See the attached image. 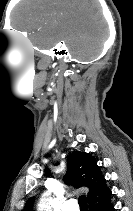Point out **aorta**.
<instances>
[{
    "label": "aorta",
    "mask_w": 133,
    "mask_h": 211,
    "mask_svg": "<svg viewBox=\"0 0 133 211\" xmlns=\"http://www.w3.org/2000/svg\"><path fill=\"white\" fill-rule=\"evenodd\" d=\"M51 198L50 194L48 192L42 194L39 203L37 211H51Z\"/></svg>",
    "instance_id": "obj_1"
}]
</instances>
